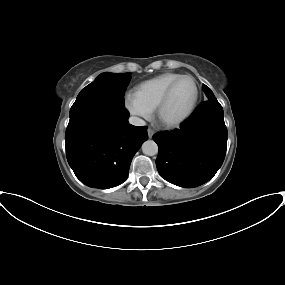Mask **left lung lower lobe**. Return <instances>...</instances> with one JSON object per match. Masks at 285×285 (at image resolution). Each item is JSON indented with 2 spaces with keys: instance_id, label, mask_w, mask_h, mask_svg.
Returning a JSON list of instances; mask_svg holds the SVG:
<instances>
[{
  "instance_id": "obj_1",
  "label": "left lung lower lobe",
  "mask_w": 285,
  "mask_h": 285,
  "mask_svg": "<svg viewBox=\"0 0 285 285\" xmlns=\"http://www.w3.org/2000/svg\"><path fill=\"white\" fill-rule=\"evenodd\" d=\"M223 108L210 99L180 129L153 136L159 147L156 166L168 182L193 188L209 181L221 167L227 148Z\"/></svg>"
}]
</instances>
